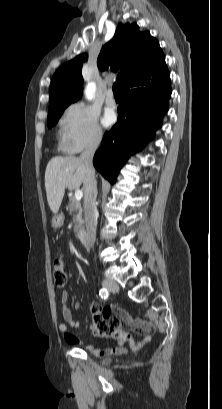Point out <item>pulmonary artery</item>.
I'll return each instance as SVG.
<instances>
[{
  "mask_svg": "<svg viewBox=\"0 0 222 409\" xmlns=\"http://www.w3.org/2000/svg\"><path fill=\"white\" fill-rule=\"evenodd\" d=\"M105 102H106V104H107L108 106H114L115 103H116L111 88H108V90H107V95H106Z\"/></svg>",
  "mask_w": 222,
  "mask_h": 409,
  "instance_id": "e3ab8cb5",
  "label": "pulmonary artery"
}]
</instances>
